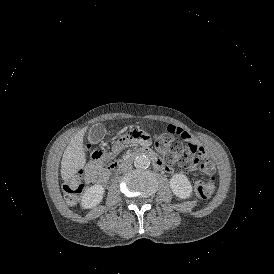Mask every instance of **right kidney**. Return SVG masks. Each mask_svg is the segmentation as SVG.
Returning <instances> with one entry per match:
<instances>
[{"instance_id":"1","label":"right kidney","mask_w":274,"mask_h":274,"mask_svg":"<svg viewBox=\"0 0 274 274\" xmlns=\"http://www.w3.org/2000/svg\"><path fill=\"white\" fill-rule=\"evenodd\" d=\"M104 189L101 186H92L82 197L83 208H93L102 200Z\"/></svg>"}]
</instances>
